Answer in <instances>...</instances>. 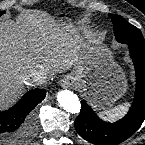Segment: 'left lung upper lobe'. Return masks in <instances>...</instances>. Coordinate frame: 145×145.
Listing matches in <instances>:
<instances>
[{
	"instance_id": "5c2ea615",
	"label": "left lung upper lobe",
	"mask_w": 145,
	"mask_h": 145,
	"mask_svg": "<svg viewBox=\"0 0 145 145\" xmlns=\"http://www.w3.org/2000/svg\"><path fill=\"white\" fill-rule=\"evenodd\" d=\"M110 17L114 24V34L117 41L145 48L144 38L138 28L128 23L121 16L110 15Z\"/></svg>"
}]
</instances>
